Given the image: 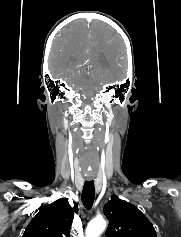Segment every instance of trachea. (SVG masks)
Instances as JSON below:
<instances>
[{
  "label": "trachea",
  "instance_id": "obj_1",
  "mask_svg": "<svg viewBox=\"0 0 181 237\" xmlns=\"http://www.w3.org/2000/svg\"><path fill=\"white\" fill-rule=\"evenodd\" d=\"M95 196L94 182L86 181L82 190V203L87 209H91Z\"/></svg>",
  "mask_w": 181,
  "mask_h": 237
}]
</instances>
